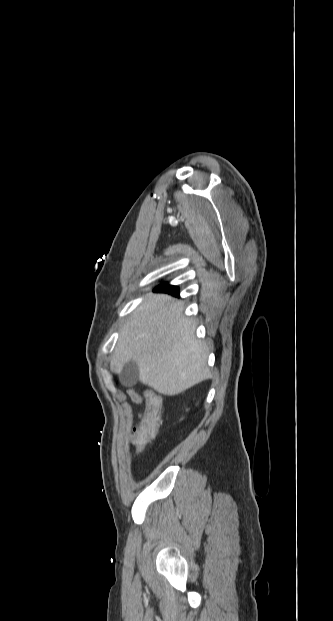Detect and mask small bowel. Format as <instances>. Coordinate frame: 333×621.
Instances as JSON below:
<instances>
[{
	"label": "small bowel",
	"mask_w": 333,
	"mask_h": 621,
	"mask_svg": "<svg viewBox=\"0 0 333 621\" xmlns=\"http://www.w3.org/2000/svg\"><path fill=\"white\" fill-rule=\"evenodd\" d=\"M149 393H150V391H147V392H146V394H145V398H146V400H147V401H148ZM128 395H129V397L131 398V400H132L135 404H138V405L142 404V402H143V398H142L141 396H139V395H138L136 392H134L133 390H129V391H128ZM138 417L141 419V418H142V414H141V413H139V414H138ZM134 439H135V441L137 442V433H135V434H134Z\"/></svg>",
	"instance_id": "1"
}]
</instances>
